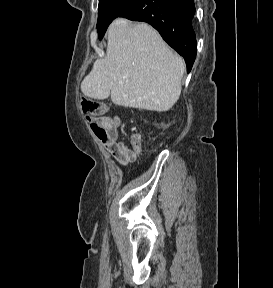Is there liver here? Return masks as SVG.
Segmentation results:
<instances>
[{"instance_id":"6515ba94","label":"liver","mask_w":273,"mask_h":288,"mask_svg":"<svg viewBox=\"0 0 273 288\" xmlns=\"http://www.w3.org/2000/svg\"><path fill=\"white\" fill-rule=\"evenodd\" d=\"M183 59L150 25L118 18L108 28L106 56L81 83L86 97L150 111H168L181 93Z\"/></svg>"}]
</instances>
